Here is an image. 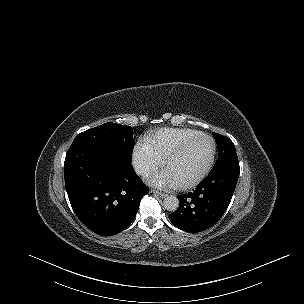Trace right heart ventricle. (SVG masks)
<instances>
[{
	"instance_id": "obj_1",
	"label": "right heart ventricle",
	"mask_w": 304,
	"mask_h": 304,
	"mask_svg": "<svg viewBox=\"0 0 304 304\" xmlns=\"http://www.w3.org/2000/svg\"><path fill=\"white\" fill-rule=\"evenodd\" d=\"M200 135L192 128L165 127L152 131L147 139V145L158 159L163 160L182 143Z\"/></svg>"
}]
</instances>
